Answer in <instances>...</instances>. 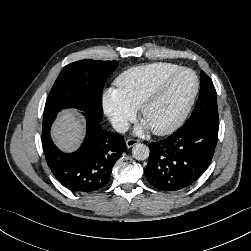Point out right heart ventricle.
I'll use <instances>...</instances> for the list:
<instances>
[{"instance_id":"right-heart-ventricle-1","label":"right heart ventricle","mask_w":251,"mask_h":251,"mask_svg":"<svg viewBox=\"0 0 251 251\" xmlns=\"http://www.w3.org/2000/svg\"><path fill=\"white\" fill-rule=\"evenodd\" d=\"M181 66L168 62H155L135 66L123 71L115 80L117 91L134 109H138L150 90L164 77Z\"/></svg>"}]
</instances>
